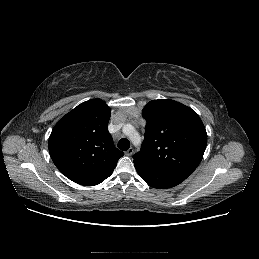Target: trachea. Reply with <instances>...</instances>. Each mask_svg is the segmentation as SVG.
Instances as JSON below:
<instances>
[{"label": "trachea", "instance_id": "obj_1", "mask_svg": "<svg viewBox=\"0 0 259 259\" xmlns=\"http://www.w3.org/2000/svg\"><path fill=\"white\" fill-rule=\"evenodd\" d=\"M129 147H130V142H129L128 139L122 138V139L119 140V142H118V148H119L120 150L126 151V150L129 149Z\"/></svg>", "mask_w": 259, "mask_h": 259}]
</instances>
